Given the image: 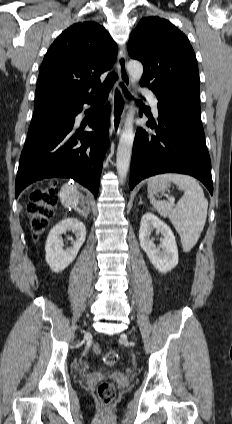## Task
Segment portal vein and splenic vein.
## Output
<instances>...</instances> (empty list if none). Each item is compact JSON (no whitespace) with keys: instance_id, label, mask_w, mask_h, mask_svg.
<instances>
[{"instance_id":"1","label":"portal vein and splenic vein","mask_w":232,"mask_h":424,"mask_svg":"<svg viewBox=\"0 0 232 424\" xmlns=\"http://www.w3.org/2000/svg\"><path fill=\"white\" fill-rule=\"evenodd\" d=\"M170 203L174 205L175 204V199L174 198H170Z\"/></svg>"}]
</instances>
